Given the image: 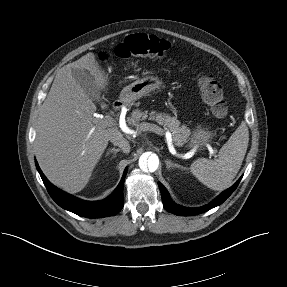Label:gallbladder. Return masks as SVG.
Listing matches in <instances>:
<instances>
[{"mask_svg": "<svg viewBox=\"0 0 287 287\" xmlns=\"http://www.w3.org/2000/svg\"><path fill=\"white\" fill-rule=\"evenodd\" d=\"M72 75L91 100L101 102V91L87 70L73 69Z\"/></svg>", "mask_w": 287, "mask_h": 287, "instance_id": "obj_1", "label": "gallbladder"}]
</instances>
